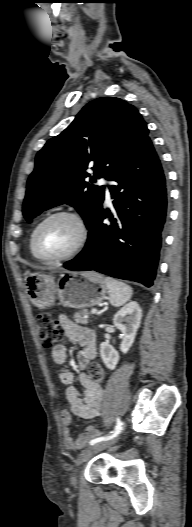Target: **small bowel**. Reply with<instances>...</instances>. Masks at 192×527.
<instances>
[{"label": "small bowel", "instance_id": "small-bowel-1", "mask_svg": "<svg viewBox=\"0 0 192 527\" xmlns=\"http://www.w3.org/2000/svg\"><path fill=\"white\" fill-rule=\"evenodd\" d=\"M59 322L63 326L68 339L81 345L82 349L77 354V364L81 370H84L96 357L95 332L75 324L64 315L59 317ZM66 358L67 348L64 345L59 344L52 348V359L57 365L62 366ZM58 376L60 381L67 386L65 390L67 407L61 412L64 444L67 450L73 451L83 448L87 440L97 434V429L96 427H88L84 433L73 440L70 429L72 416L75 415L86 420L99 417L101 414L103 389L100 384L94 383L85 372L79 375V381L83 386L82 392L75 387V376L70 370L60 368Z\"/></svg>", "mask_w": 192, "mask_h": 527}]
</instances>
